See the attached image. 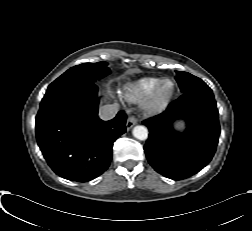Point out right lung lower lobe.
<instances>
[{
  "label": "right lung lower lobe",
  "mask_w": 252,
  "mask_h": 231,
  "mask_svg": "<svg viewBox=\"0 0 252 231\" xmlns=\"http://www.w3.org/2000/svg\"><path fill=\"white\" fill-rule=\"evenodd\" d=\"M97 87L85 83L43 97L36 116V137L48 165L59 176L87 182L101 175L112 159L115 140L126 131V114L98 117Z\"/></svg>",
  "instance_id": "98d812e1"
}]
</instances>
